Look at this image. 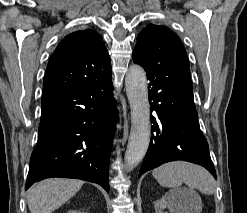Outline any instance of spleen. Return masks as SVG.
Listing matches in <instances>:
<instances>
[{"instance_id":"obj_1","label":"spleen","mask_w":247,"mask_h":213,"mask_svg":"<svg viewBox=\"0 0 247 213\" xmlns=\"http://www.w3.org/2000/svg\"><path fill=\"white\" fill-rule=\"evenodd\" d=\"M152 175L161 186L173 188L174 191L183 183L205 195H212L215 191L213 176L203 167L188 162L175 161L163 164L154 169Z\"/></svg>"}]
</instances>
